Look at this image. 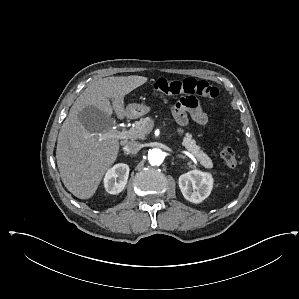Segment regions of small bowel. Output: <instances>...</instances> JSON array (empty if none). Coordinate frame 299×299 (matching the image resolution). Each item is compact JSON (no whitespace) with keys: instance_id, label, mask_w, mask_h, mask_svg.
Listing matches in <instances>:
<instances>
[{"instance_id":"1","label":"small bowel","mask_w":299,"mask_h":299,"mask_svg":"<svg viewBox=\"0 0 299 299\" xmlns=\"http://www.w3.org/2000/svg\"><path fill=\"white\" fill-rule=\"evenodd\" d=\"M172 114L180 126H185L188 123V114L199 125H205L208 122L207 113L194 97L179 99L172 108ZM179 134L183 135V130H179Z\"/></svg>"}]
</instances>
